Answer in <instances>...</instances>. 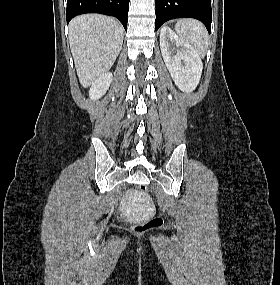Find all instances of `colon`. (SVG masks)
Here are the masks:
<instances>
[{
    "label": "colon",
    "instance_id": "colon-1",
    "mask_svg": "<svg viewBox=\"0 0 280 285\" xmlns=\"http://www.w3.org/2000/svg\"><path fill=\"white\" fill-rule=\"evenodd\" d=\"M138 191L140 192V194L144 196L148 195V188L146 185H139ZM162 223L163 220L161 217L154 216L147 219L145 222L136 225L133 230L135 233H144L159 228L162 225Z\"/></svg>",
    "mask_w": 280,
    "mask_h": 285
}]
</instances>
